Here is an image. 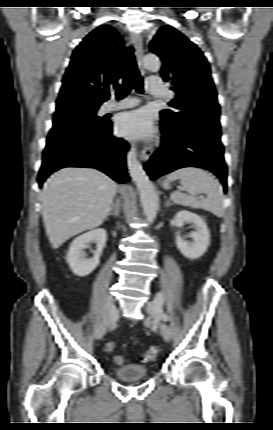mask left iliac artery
<instances>
[{
	"label": "left iliac artery",
	"mask_w": 273,
	"mask_h": 430,
	"mask_svg": "<svg viewBox=\"0 0 273 430\" xmlns=\"http://www.w3.org/2000/svg\"><path fill=\"white\" fill-rule=\"evenodd\" d=\"M154 301H155L157 307L159 308V315H160L161 319L164 321L170 320V317L166 313H164L163 309H162L164 298H163V295L161 292H158L156 294Z\"/></svg>",
	"instance_id": "left-iliac-artery-1"
}]
</instances>
